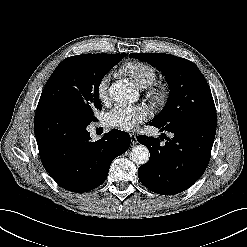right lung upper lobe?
Returning <instances> with one entry per match:
<instances>
[{"instance_id":"cb5924a9","label":"right lung upper lobe","mask_w":247,"mask_h":247,"mask_svg":"<svg viewBox=\"0 0 247 247\" xmlns=\"http://www.w3.org/2000/svg\"><path fill=\"white\" fill-rule=\"evenodd\" d=\"M89 56H93V57H98V58H102L103 60L107 61V62H114V63H118L122 58H124L126 56V54H87Z\"/></svg>"}]
</instances>
